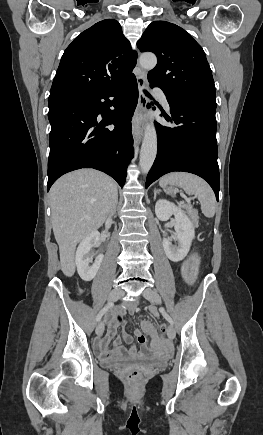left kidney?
Segmentation results:
<instances>
[{"label": "left kidney", "mask_w": 263, "mask_h": 435, "mask_svg": "<svg viewBox=\"0 0 263 435\" xmlns=\"http://www.w3.org/2000/svg\"><path fill=\"white\" fill-rule=\"evenodd\" d=\"M155 213L157 218L161 221H167L174 215L176 237H164L163 248L171 261L179 262L183 260L187 256L192 240L195 237L194 224L181 207L165 199H160L156 202ZM173 240L177 241L178 244H172Z\"/></svg>", "instance_id": "1"}]
</instances>
